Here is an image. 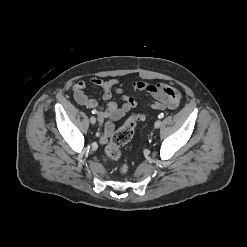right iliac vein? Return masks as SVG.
Wrapping results in <instances>:
<instances>
[{
	"instance_id": "1",
	"label": "right iliac vein",
	"mask_w": 247,
	"mask_h": 247,
	"mask_svg": "<svg viewBox=\"0 0 247 247\" xmlns=\"http://www.w3.org/2000/svg\"><path fill=\"white\" fill-rule=\"evenodd\" d=\"M90 122H91L92 124H95V123H96V119H95L94 116H91V117H90Z\"/></svg>"
}]
</instances>
